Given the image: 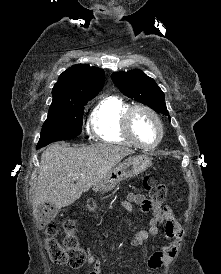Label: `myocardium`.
I'll list each match as a JSON object with an SVG mask.
<instances>
[{
	"mask_svg": "<svg viewBox=\"0 0 221 274\" xmlns=\"http://www.w3.org/2000/svg\"><path fill=\"white\" fill-rule=\"evenodd\" d=\"M137 111L146 112L155 120L157 124L159 135L157 140L153 144L148 145L140 142L134 134L132 122H133V116ZM123 128H124L125 134L134 143L135 146L142 149H147V150L157 147L161 143L164 136V127L159 115L151 107L143 104L131 105L128 108V110L124 114Z\"/></svg>",
	"mask_w": 221,
	"mask_h": 274,
	"instance_id": "f54148a6",
	"label": "myocardium"
}]
</instances>
